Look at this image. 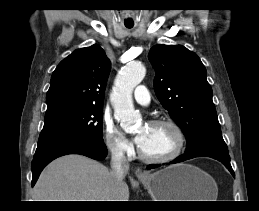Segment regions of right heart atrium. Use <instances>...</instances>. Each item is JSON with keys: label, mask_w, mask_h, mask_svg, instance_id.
Returning <instances> with one entry per match:
<instances>
[{"label": "right heart atrium", "mask_w": 259, "mask_h": 211, "mask_svg": "<svg viewBox=\"0 0 259 211\" xmlns=\"http://www.w3.org/2000/svg\"><path fill=\"white\" fill-rule=\"evenodd\" d=\"M103 133L105 144L115 157L124 158L131 154L130 141L108 117L103 119Z\"/></svg>", "instance_id": "1"}]
</instances>
